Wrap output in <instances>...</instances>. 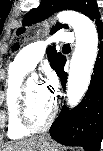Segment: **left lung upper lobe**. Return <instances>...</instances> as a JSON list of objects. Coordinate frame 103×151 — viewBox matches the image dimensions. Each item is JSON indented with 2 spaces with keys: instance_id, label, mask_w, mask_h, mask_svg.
<instances>
[{
  "instance_id": "left-lung-upper-lobe-1",
  "label": "left lung upper lobe",
  "mask_w": 103,
  "mask_h": 151,
  "mask_svg": "<svg viewBox=\"0 0 103 151\" xmlns=\"http://www.w3.org/2000/svg\"><path fill=\"white\" fill-rule=\"evenodd\" d=\"M66 9L79 11L88 16L91 20L96 19L97 29L103 28V23L99 20L100 14L95 0H42L37 8L30 10L24 15L22 24L24 27H29L34 23L46 19L55 12ZM61 28H68V26L57 23L56 26L51 29V34H54ZM24 31V28H18L17 35L24 33ZM14 48L17 50L19 45L15 44ZM47 56L52 69L58 73L61 66L66 62V57L60 52L58 53L54 47H49L47 49Z\"/></svg>"
}]
</instances>
